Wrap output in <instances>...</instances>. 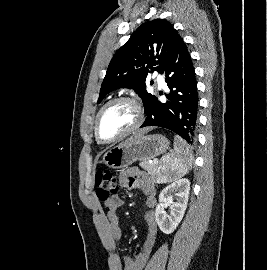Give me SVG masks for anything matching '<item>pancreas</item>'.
Instances as JSON below:
<instances>
[{
	"label": "pancreas",
	"instance_id": "cf45deb5",
	"mask_svg": "<svg viewBox=\"0 0 267 270\" xmlns=\"http://www.w3.org/2000/svg\"><path fill=\"white\" fill-rule=\"evenodd\" d=\"M140 166L146 170L151 176L152 179L156 182L159 180V169H158V163H149L148 161H141Z\"/></svg>",
	"mask_w": 267,
	"mask_h": 270
}]
</instances>
